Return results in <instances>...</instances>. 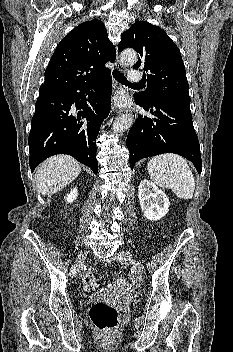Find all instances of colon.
I'll return each instance as SVG.
<instances>
[{
    "label": "colon",
    "instance_id": "5ec220e1",
    "mask_svg": "<svg viewBox=\"0 0 233 352\" xmlns=\"http://www.w3.org/2000/svg\"><path fill=\"white\" fill-rule=\"evenodd\" d=\"M96 287V277L93 270L86 272L83 279V290L91 293ZM93 325L102 332H109L118 324V311L105 302H95L89 311Z\"/></svg>",
    "mask_w": 233,
    "mask_h": 352
}]
</instances>
